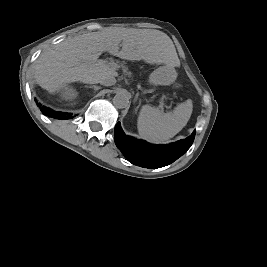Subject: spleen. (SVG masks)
<instances>
[{"mask_svg": "<svg viewBox=\"0 0 267 267\" xmlns=\"http://www.w3.org/2000/svg\"><path fill=\"white\" fill-rule=\"evenodd\" d=\"M190 114L186 103L166 113L159 108L143 105L137 120L139 135L150 143H166L183 129Z\"/></svg>", "mask_w": 267, "mask_h": 267, "instance_id": "1", "label": "spleen"}]
</instances>
